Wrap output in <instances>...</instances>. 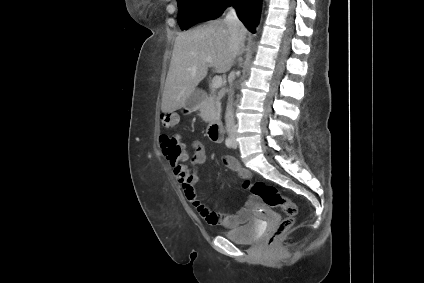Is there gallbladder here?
Returning a JSON list of instances; mask_svg holds the SVG:
<instances>
[{
  "mask_svg": "<svg viewBox=\"0 0 424 283\" xmlns=\"http://www.w3.org/2000/svg\"><path fill=\"white\" fill-rule=\"evenodd\" d=\"M201 99V93L200 92H194L191 94V96L186 101V106L189 108H195Z\"/></svg>",
  "mask_w": 424,
  "mask_h": 283,
  "instance_id": "gallbladder-1",
  "label": "gallbladder"
}]
</instances>
